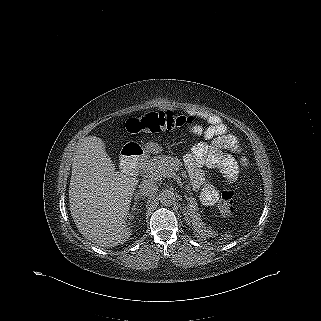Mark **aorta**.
Segmentation results:
<instances>
[{
    "instance_id": "aorta-1",
    "label": "aorta",
    "mask_w": 321,
    "mask_h": 321,
    "mask_svg": "<svg viewBox=\"0 0 321 321\" xmlns=\"http://www.w3.org/2000/svg\"><path fill=\"white\" fill-rule=\"evenodd\" d=\"M159 200L163 206H171L175 202L176 197L172 191L165 190L159 195Z\"/></svg>"
}]
</instances>
